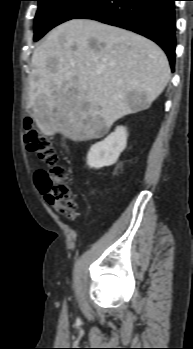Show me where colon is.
Returning <instances> with one entry per match:
<instances>
[{"label":"colon","instance_id":"colon-1","mask_svg":"<svg viewBox=\"0 0 193 349\" xmlns=\"http://www.w3.org/2000/svg\"><path fill=\"white\" fill-rule=\"evenodd\" d=\"M24 141L27 148L48 164V170L35 174V182L46 201L61 215L72 218L76 214L75 195L67 182V170L59 163L51 139L27 118L24 121Z\"/></svg>","mask_w":193,"mask_h":349}]
</instances>
